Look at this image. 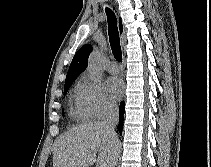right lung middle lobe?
I'll list each match as a JSON object with an SVG mask.
<instances>
[{
  "label": "right lung middle lobe",
  "mask_w": 211,
  "mask_h": 167,
  "mask_svg": "<svg viewBox=\"0 0 211 167\" xmlns=\"http://www.w3.org/2000/svg\"><path fill=\"white\" fill-rule=\"evenodd\" d=\"M74 80L65 82V86H64V95L67 93L68 89L70 88V86L72 85Z\"/></svg>",
  "instance_id": "1"
}]
</instances>
